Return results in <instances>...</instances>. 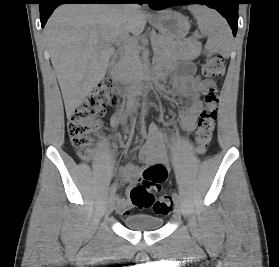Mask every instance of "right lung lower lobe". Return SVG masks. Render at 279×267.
Here are the masks:
<instances>
[{"instance_id":"1","label":"right lung lower lobe","mask_w":279,"mask_h":267,"mask_svg":"<svg viewBox=\"0 0 279 267\" xmlns=\"http://www.w3.org/2000/svg\"><path fill=\"white\" fill-rule=\"evenodd\" d=\"M143 3L142 0H41L39 2L41 26L44 27L54 9L63 3Z\"/></svg>"}]
</instances>
